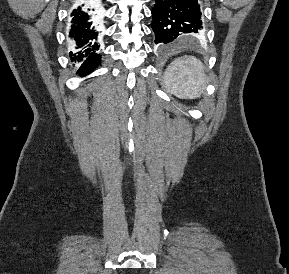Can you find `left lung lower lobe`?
Listing matches in <instances>:
<instances>
[{
	"instance_id": "obj_1",
	"label": "left lung lower lobe",
	"mask_w": 289,
	"mask_h": 274,
	"mask_svg": "<svg viewBox=\"0 0 289 274\" xmlns=\"http://www.w3.org/2000/svg\"><path fill=\"white\" fill-rule=\"evenodd\" d=\"M152 28L162 46L190 41L202 35L199 0H155Z\"/></svg>"
}]
</instances>
